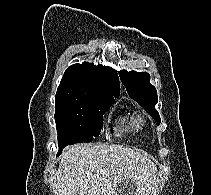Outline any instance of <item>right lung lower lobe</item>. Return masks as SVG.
I'll return each mask as SVG.
<instances>
[{
  "label": "right lung lower lobe",
  "mask_w": 211,
  "mask_h": 195,
  "mask_svg": "<svg viewBox=\"0 0 211 195\" xmlns=\"http://www.w3.org/2000/svg\"><path fill=\"white\" fill-rule=\"evenodd\" d=\"M61 154V152H58V154L57 155H60Z\"/></svg>",
  "instance_id": "obj_1"
}]
</instances>
